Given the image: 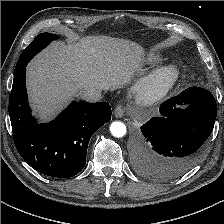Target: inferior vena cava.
<instances>
[{
    "label": "inferior vena cava",
    "mask_w": 224,
    "mask_h": 224,
    "mask_svg": "<svg viewBox=\"0 0 224 224\" xmlns=\"http://www.w3.org/2000/svg\"><path fill=\"white\" fill-rule=\"evenodd\" d=\"M80 97L87 102H97L101 99V90L98 88H86L80 92Z\"/></svg>",
    "instance_id": "obj_1"
}]
</instances>
